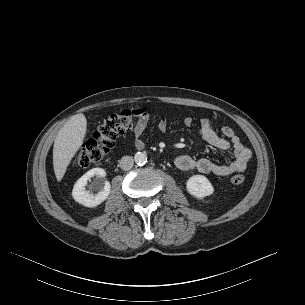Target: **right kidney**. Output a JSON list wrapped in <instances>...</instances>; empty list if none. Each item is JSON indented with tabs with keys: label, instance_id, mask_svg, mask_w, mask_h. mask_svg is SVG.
<instances>
[{
	"label": "right kidney",
	"instance_id": "1",
	"mask_svg": "<svg viewBox=\"0 0 305 305\" xmlns=\"http://www.w3.org/2000/svg\"><path fill=\"white\" fill-rule=\"evenodd\" d=\"M94 176L104 178L106 176V172L102 168H93L89 170L78 179L72 190V197L74 200L86 207H95L101 204L110 194L111 185L106 180L100 181L96 186V189L99 190L97 194H92L85 190L88 180Z\"/></svg>",
	"mask_w": 305,
	"mask_h": 305
}]
</instances>
